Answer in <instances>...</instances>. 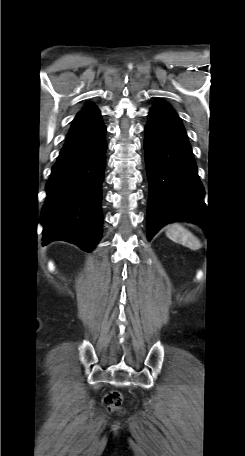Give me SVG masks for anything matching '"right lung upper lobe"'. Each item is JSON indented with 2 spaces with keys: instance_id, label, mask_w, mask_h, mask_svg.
I'll list each match as a JSON object with an SVG mask.
<instances>
[{
  "instance_id": "right-lung-upper-lobe-1",
  "label": "right lung upper lobe",
  "mask_w": 245,
  "mask_h": 456,
  "mask_svg": "<svg viewBox=\"0 0 245 456\" xmlns=\"http://www.w3.org/2000/svg\"><path fill=\"white\" fill-rule=\"evenodd\" d=\"M103 127L100 111L93 105L85 106L75 117L62 149L76 148L97 138Z\"/></svg>"
}]
</instances>
